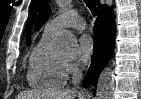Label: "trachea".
Returning <instances> with one entry per match:
<instances>
[{
    "instance_id": "1",
    "label": "trachea",
    "mask_w": 141,
    "mask_h": 99,
    "mask_svg": "<svg viewBox=\"0 0 141 99\" xmlns=\"http://www.w3.org/2000/svg\"><path fill=\"white\" fill-rule=\"evenodd\" d=\"M84 2L87 7L91 10L93 16H96L99 10L100 2L98 0H84Z\"/></svg>"
}]
</instances>
